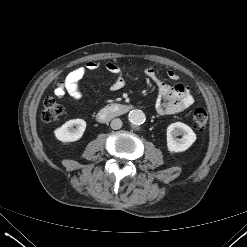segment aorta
<instances>
[{"instance_id": "aorta-1", "label": "aorta", "mask_w": 247, "mask_h": 247, "mask_svg": "<svg viewBox=\"0 0 247 247\" xmlns=\"http://www.w3.org/2000/svg\"><path fill=\"white\" fill-rule=\"evenodd\" d=\"M145 120L146 116L142 110L133 109L128 114V121L134 127L142 125Z\"/></svg>"}]
</instances>
